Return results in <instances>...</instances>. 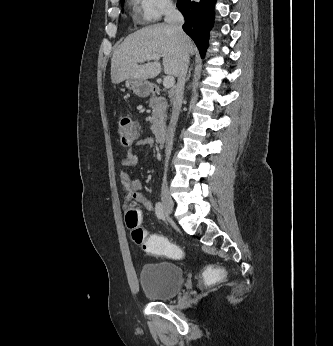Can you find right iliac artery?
I'll use <instances>...</instances> for the list:
<instances>
[{"label": "right iliac artery", "instance_id": "right-iliac-artery-1", "mask_svg": "<svg viewBox=\"0 0 333 346\" xmlns=\"http://www.w3.org/2000/svg\"><path fill=\"white\" fill-rule=\"evenodd\" d=\"M155 213L158 219L164 218V211L161 202H157L155 205Z\"/></svg>", "mask_w": 333, "mask_h": 346}]
</instances>
